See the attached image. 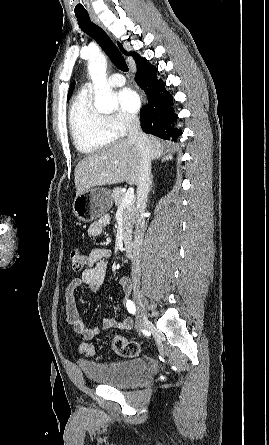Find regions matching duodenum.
Instances as JSON below:
<instances>
[{
  "label": "duodenum",
  "mask_w": 269,
  "mask_h": 445,
  "mask_svg": "<svg viewBox=\"0 0 269 445\" xmlns=\"http://www.w3.org/2000/svg\"><path fill=\"white\" fill-rule=\"evenodd\" d=\"M124 252L127 257L132 256L133 254V242L128 240L124 244Z\"/></svg>",
  "instance_id": "obj_1"
}]
</instances>
